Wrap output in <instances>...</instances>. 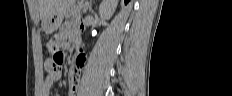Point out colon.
<instances>
[{
	"mask_svg": "<svg viewBox=\"0 0 232 96\" xmlns=\"http://www.w3.org/2000/svg\"><path fill=\"white\" fill-rule=\"evenodd\" d=\"M48 47L52 54V59L48 61V70L50 73H55L62 66L64 62V55L61 48L56 44L55 41L50 43Z\"/></svg>",
	"mask_w": 232,
	"mask_h": 96,
	"instance_id": "colon-1",
	"label": "colon"
}]
</instances>
